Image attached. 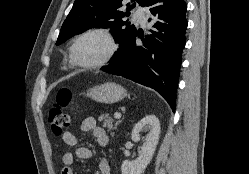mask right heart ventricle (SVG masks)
I'll return each instance as SVG.
<instances>
[{
	"instance_id": "1",
	"label": "right heart ventricle",
	"mask_w": 249,
	"mask_h": 174,
	"mask_svg": "<svg viewBox=\"0 0 249 174\" xmlns=\"http://www.w3.org/2000/svg\"><path fill=\"white\" fill-rule=\"evenodd\" d=\"M70 63H71L72 66L75 65V63H74V61H73V59H72V56H71V59H70Z\"/></svg>"
}]
</instances>
